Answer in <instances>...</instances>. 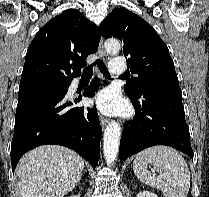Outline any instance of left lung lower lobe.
Masks as SVG:
<instances>
[{
  "label": "left lung lower lobe",
  "instance_id": "obj_1",
  "mask_svg": "<svg viewBox=\"0 0 209 197\" xmlns=\"http://www.w3.org/2000/svg\"><path fill=\"white\" fill-rule=\"evenodd\" d=\"M127 95L133 101L136 116L124 124L120 141L121 163L127 157L154 145L174 147L193 159L181 90L148 89L137 96Z\"/></svg>",
  "mask_w": 209,
  "mask_h": 197
}]
</instances>
